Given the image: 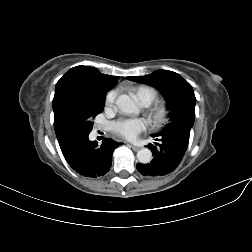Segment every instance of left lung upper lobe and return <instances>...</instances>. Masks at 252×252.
Segmentation results:
<instances>
[{"instance_id":"obj_1","label":"left lung upper lobe","mask_w":252,"mask_h":252,"mask_svg":"<svg viewBox=\"0 0 252 252\" xmlns=\"http://www.w3.org/2000/svg\"><path fill=\"white\" fill-rule=\"evenodd\" d=\"M127 79L151 85L164 95L170 111V123L156 135L176 128L191 130L195 119L196 98L192 86L179 74L157 70L146 76H129Z\"/></svg>"}]
</instances>
